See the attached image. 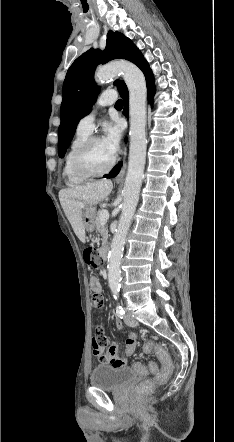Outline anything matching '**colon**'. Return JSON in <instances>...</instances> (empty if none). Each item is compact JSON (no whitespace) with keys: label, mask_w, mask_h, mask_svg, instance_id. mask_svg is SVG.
Here are the masks:
<instances>
[{"label":"colon","mask_w":234,"mask_h":442,"mask_svg":"<svg viewBox=\"0 0 234 442\" xmlns=\"http://www.w3.org/2000/svg\"><path fill=\"white\" fill-rule=\"evenodd\" d=\"M85 262L93 268H101L104 266V261L100 258L98 253L92 247H87L83 252ZM91 290L93 292L91 298V304L96 309H101L104 305V298L101 293L96 289L97 279L92 278L90 281ZM94 342V341H93ZM96 344V343H95ZM143 352L151 353L155 352L162 363V369L159 371V365L156 361H150L147 366L140 360H134L132 362V371L141 375H147L148 373H157L156 377H152L151 380H139L138 387L140 392L147 391L149 389L159 388L163 386L164 382L169 378L172 373L173 364L170 355L160 344L146 341L142 347Z\"/></svg>","instance_id":"colon-1"}]
</instances>
